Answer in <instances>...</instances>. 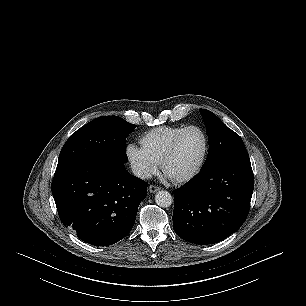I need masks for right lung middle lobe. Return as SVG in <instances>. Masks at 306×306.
I'll return each instance as SVG.
<instances>
[{"label":"right lung middle lobe","instance_id":"obj_1","mask_svg":"<svg viewBox=\"0 0 306 306\" xmlns=\"http://www.w3.org/2000/svg\"><path fill=\"white\" fill-rule=\"evenodd\" d=\"M135 127L118 116H103L90 121L64 144L56 172L88 161L126 163L125 141Z\"/></svg>","mask_w":306,"mask_h":306}]
</instances>
